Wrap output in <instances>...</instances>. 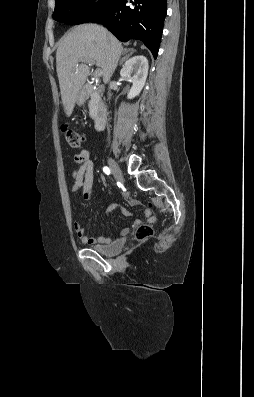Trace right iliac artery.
<instances>
[{
    "instance_id": "82829eb1",
    "label": "right iliac artery",
    "mask_w": 254,
    "mask_h": 397,
    "mask_svg": "<svg viewBox=\"0 0 254 397\" xmlns=\"http://www.w3.org/2000/svg\"><path fill=\"white\" fill-rule=\"evenodd\" d=\"M103 171L105 172V174L109 175L111 173L110 169L108 167H104Z\"/></svg>"
}]
</instances>
